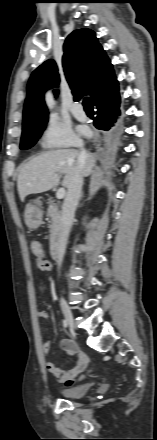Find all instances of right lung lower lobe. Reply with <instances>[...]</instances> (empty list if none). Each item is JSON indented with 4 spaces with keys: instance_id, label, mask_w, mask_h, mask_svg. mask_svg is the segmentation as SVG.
I'll list each match as a JSON object with an SVG mask.
<instances>
[{
    "instance_id": "1",
    "label": "right lung lower lobe",
    "mask_w": 157,
    "mask_h": 440,
    "mask_svg": "<svg viewBox=\"0 0 157 440\" xmlns=\"http://www.w3.org/2000/svg\"><path fill=\"white\" fill-rule=\"evenodd\" d=\"M96 128L108 131L109 134H116L121 124L120 95L119 92L103 100L96 107Z\"/></svg>"
}]
</instances>
